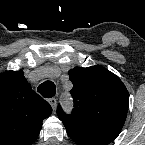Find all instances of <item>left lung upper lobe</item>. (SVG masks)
I'll return each mask as SVG.
<instances>
[{
    "mask_svg": "<svg viewBox=\"0 0 145 145\" xmlns=\"http://www.w3.org/2000/svg\"><path fill=\"white\" fill-rule=\"evenodd\" d=\"M68 74L73 83L74 109L66 115L58 106L57 114L64 126L123 127L129 93L115 74L102 66L75 67Z\"/></svg>",
    "mask_w": 145,
    "mask_h": 145,
    "instance_id": "5c2ea615",
    "label": "left lung upper lobe"
}]
</instances>
